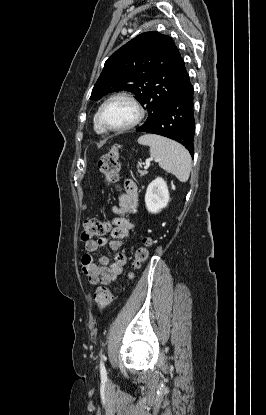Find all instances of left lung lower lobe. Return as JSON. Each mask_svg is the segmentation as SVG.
Here are the masks:
<instances>
[{
  "instance_id": "left-lung-lower-lobe-1",
  "label": "left lung lower lobe",
  "mask_w": 266,
  "mask_h": 415,
  "mask_svg": "<svg viewBox=\"0 0 266 415\" xmlns=\"http://www.w3.org/2000/svg\"><path fill=\"white\" fill-rule=\"evenodd\" d=\"M176 140L194 153V88L187 74L181 88L165 105L156 120L136 129Z\"/></svg>"
}]
</instances>
